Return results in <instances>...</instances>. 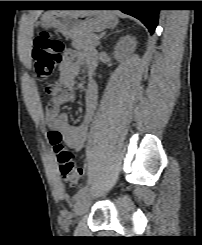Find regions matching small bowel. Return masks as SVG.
Listing matches in <instances>:
<instances>
[{
	"label": "small bowel",
	"instance_id": "obj_1",
	"mask_svg": "<svg viewBox=\"0 0 202 245\" xmlns=\"http://www.w3.org/2000/svg\"><path fill=\"white\" fill-rule=\"evenodd\" d=\"M83 67L89 75H93L96 69L95 57L84 56L73 49L65 51L59 67L57 84L51 86L52 99L43 114V120L48 124L56 125L62 132L66 144L76 151L80 150L86 142L88 126L97 108L99 96L97 83L90 79L85 88L84 115L79 125H72L69 116L60 114L59 109L61 105L74 101L76 78Z\"/></svg>",
	"mask_w": 202,
	"mask_h": 245
}]
</instances>
